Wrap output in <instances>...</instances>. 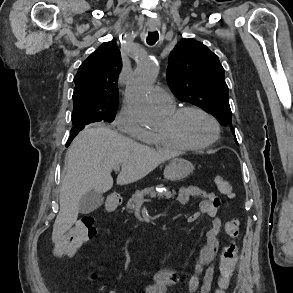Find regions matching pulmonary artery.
<instances>
[{"label":"pulmonary artery","mask_w":293,"mask_h":293,"mask_svg":"<svg viewBox=\"0 0 293 293\" xmlns=\"http://www.w3.org/2000/svg\"><path fill=\"white\" fill-rule=\"evenodd\" d=\"M150 97L153 103L162 110H167L173 107V95L162 87H153L150 93Z\"/></svg>","instance_id":"obj_1"}]
</instances>
